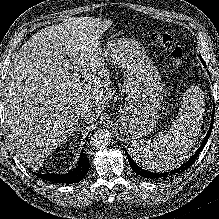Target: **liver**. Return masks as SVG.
<instances>
[{"instance_id":"1","label":"liver","mask_w":219,"mask_h":219,"mask_svg":"<svg viewBox=\"0 0 219 219\" xmlns=\"http://www.w3.org/2000/svg\"><path fill=\"white\" fill-rule=\"evenodd\" d=\"M110 20L70 17L33 35L15 55L4 86L8 138L29 166L41 165L79 124L93 123L112 98L99 38ZM83 78L80 81V78Z\"/></svg>"}]
</instances>
